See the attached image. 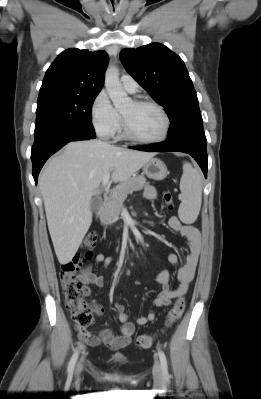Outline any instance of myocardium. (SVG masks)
<instances>
[{
	"label": "myocardium",
	"instance_id": "obj_1",
	"mask_svg": "<svg viewBox=\"0 0 261 399\" xmlns=\"http://www.w3.org/2000/svg\"><path fill=\"white\" fill-rule=\"evenodd\" d=\"M133 102L137 105H147V106H152V107L156 108L163 117L164 129H163L162 134L159 137L151 138V139L142 138V137L136 135L131 130L126 118L123 115H121L123 133H124L125 137L128 138L129 140H132V141H135L138 143H142V144H157V143H161V142L165 141L167 139V137L169 136V133L171 130V120H170L168 113L164 109V107L156 101H153L150 99H144V98L134 99Z\"/></svg>",
	"mask_w": 261,
	"mask_h": 399
}]
</instances>
